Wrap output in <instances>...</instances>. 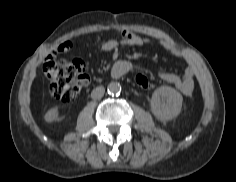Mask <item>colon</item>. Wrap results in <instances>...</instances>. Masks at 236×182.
Wrapping results in <instances>:
<instances>
[{"instance_id": "1", "label": "colon", "mask_w": 236, "mask_h": 182, "mask_svg": "<svg viewBox=\"0 0 236 182\" xmlns=\"http://www.w3.org/2000/svg\"><path fill=\"white\" fill-rule=\"evenodd\" d=\"M44 73L49 82L52 96L62 102L69 103L75 99L81 88L87 84L88 76L83 61H65L51 54L44 64ZM136 85L141 89H151L153 84L143 73L134 76Z\"/></svg>"}]
</instances>
